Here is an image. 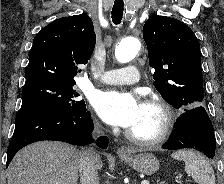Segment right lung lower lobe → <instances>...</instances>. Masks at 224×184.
<instances>
[{
	"instance_id": "obj_1",
	"label": "right lung lower lobe",
	"mask_w": 224,
	"mask_h": 184,
	"mask_svg": "<svg viewBox=\"0 0 224 184\" xmlns=\"http://www.w3.org/2000/svg\"><path fill=\"white\" fill-rule=\"evenodd\" d=\"M92 131L93 121L86 108L74 114L56 111L33 114L16 123L8 147L6 167L14 155L28 144L41 140H55L77 146L87 145L93 142ZM107 144L106 136L97 139L99 147L106 148Z\"/></svg>"
}]
</instances>
